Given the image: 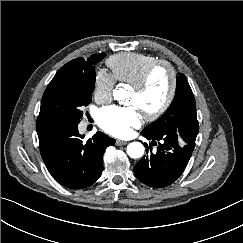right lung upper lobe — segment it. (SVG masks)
Returning <instances> with one entry per match:
<instances>
[{"instance_id":"obj_1","label":"right lung upper lobe","mask_w":243,"mask_h":243,"mask_svg":"<svg viewBox=\"0 0 243 243\" xmlns=\"http://www.w3.org/2000/svg\"><path fill=\"white\" fill-rule=\"evenodd\" d=\"M97 55V54H95ZM95 55H92L87 61H85L83 58H77L74 59L68 63H66L59 71L58 73L63 72H69V73H86L93 67V59L95 58Z\"/></svg>"}]
</instances>
